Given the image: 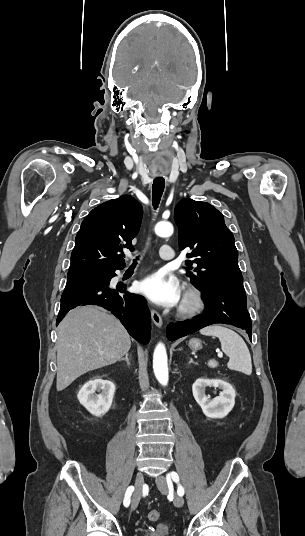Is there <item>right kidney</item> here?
Returning a JSON list of instances; mask_svg holds the SVG:
<instances>
[{
    "mask_svg": "<svg viewBox=\"0 0 305 536\" xmlns=\"http://www.w3.org/2000/svg\"><path fill=\"white\" fill-rule=\"evenodd\" d=\"M99 392V394H95ZM115 386L110 380H102V376L90 378L77 394V398L93 416H103L112 406Z\"/></svg>",
    "mask_w": 305,
    "mask_h": 536,
    "instance_id": "ca27d5eb",
    "label": "right kidney"
}]
</instances>
